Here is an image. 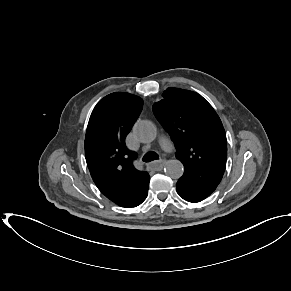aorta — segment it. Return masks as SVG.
Listing matches in <instances>:
<instances>
[{
    "mask_svg": "<svg viewBox=\"0 0 291 291\" xmlns=\"http://www.w3.org/2000/svg\"><path fill=\"white\" fill-rule=\"evenodd\" d=\"M134 134L140 142L151 143L157 137V128L151 121L143 120L135 125ZM165 173L172 179H178L184 173V166L179 160H169L165 165Z\"/></svg>",
    "mask_w": 291,
    "mask_h": 291,
    "instance_id": "aorta-1",
    "label": "aorta"
}]
</instances>
